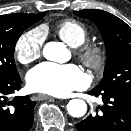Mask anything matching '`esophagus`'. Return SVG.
<instances>
[{"mask_svg": "<svg viewBox=\"0 0 131 131\" xmlns=\"http://www.w3.org/2000/svg\"><path fill=\"white\" fill-rule=\"evenodd\" d=\"M36 99L38 100H48V99H53L52 96L46 95V94H38L36 96Z\"/></svg>", "mask_w": 131, "mask_h": 131, "instance_id": "esophagus-1", "label": "esophagus"}]
</instances>
